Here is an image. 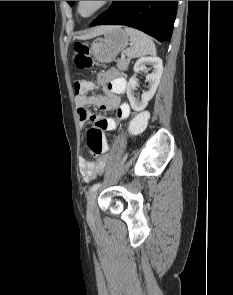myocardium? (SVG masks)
<instances>
[{"instance_id": "myocardium-1", "label": "myocardium", "mask_w": 233, "mask_h": 295, "mask_svg": "<svg viewBox=\"0 0 233 295\" xmlns=\"http://www.w3.org/2000/svg\"><path fill=\"white\" fill-rule=\"evenodd\" d=\"M111 2L112 1H98L92 11H90L88 14H82L81 7L85 3V1H77L76 13L82 19H89L101 12L102 10H104L106 7H108L111 4Z\"/></svg>"}]
</instances>
